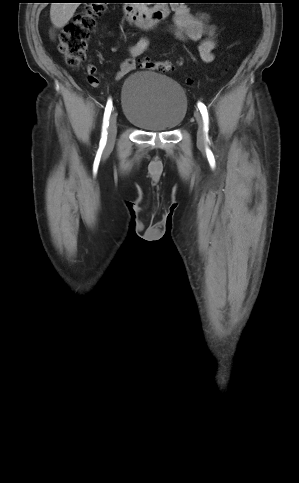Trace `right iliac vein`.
<instances>
[{"instance_id":"1","label":"right iliac vein","mask_w":299,"mask_h":483,"mask_svg":"<svg viewBox=\"0 0 299 483\" xmlns=\"http://www.w3.org/2000/svg\"><path fill=\"white\" fill-rule=\"evenodd\" d=\"M117 134V115L113 112L110 117L109 127H108V144L111 145L116 138Z\"/></svg>"}]
</instances>
